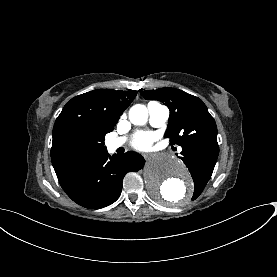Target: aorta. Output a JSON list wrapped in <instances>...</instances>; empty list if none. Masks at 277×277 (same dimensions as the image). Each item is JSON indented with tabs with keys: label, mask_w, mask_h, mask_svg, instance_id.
<instances>
[{
	"label": "aorta",
	"mask_w": 277,
	"mask_h": 277,
	"mask_svg": "<svg viewBox=\"0 0 277 277\" xmlns=\"http://www.w3.org/2000/svg\"><path fill=\"white\" fill-rule=\"evenodd\" d=\"M134 125H144L148 110L144 105H134L129 111ZM144 177L151 196L160 203L183 205L190 199L193 186L189 172L177 157L166 153L153 155L144 168Z\"/></svg>",
	"instance_id": "aorta-1"
}]
</instances>
